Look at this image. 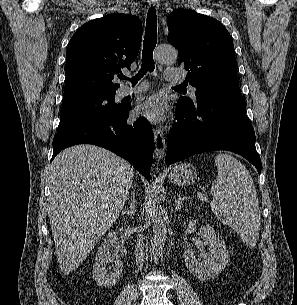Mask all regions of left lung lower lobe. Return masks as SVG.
<instances>
[{
    "instance_id": "obj_1",
    "label": "left lung lower lobe",
    "mask_w": 297,
    "mask_h": 305,
    "mask_svg": "<svg viewBox=\"0 0 297 305\" xmlns=\"http://www.w3.org/2000/svg\"><path fill=\"white\" fill-rule=\"evenodd\" d=\"M175 117L167 144V165L194 154L227 150L243 156L261 173L254 129L246 116V104L238 85L218 90L192 104L178 100Z\"/></svg>"
}]
</instances>
